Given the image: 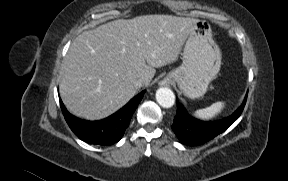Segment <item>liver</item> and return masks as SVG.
I'll return each instance as SVG.
<instances>
[{
    "mask_svg": "<svg viewBox=\"0 0 288 181\" xmlns=\"http://www.w3.org/2000/svg\"><path fill=\"white\" fill-rule=\"evenodd\" d=\"M196 19L143 15L84 31L71 43L61 68L60 96L67 109L89 120L105 118L148 86L156 70L175 62Z\"/></svg>",
    "mask_w": 288,
    "mask_h": 181,
    "instance_id": "obj_1",
    "label": "liver"
}]
</instances>
